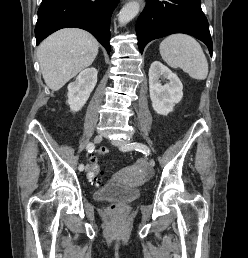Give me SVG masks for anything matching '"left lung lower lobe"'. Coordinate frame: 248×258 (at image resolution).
Wrapping results in <instances>:
<instances>
[{
  "label": "left lung lower lobe",
  "instance_id": "0a47b994",
  "mask_svg": "<svg viewBox=\"0 0 248 258\" xmlns=\"http://www.w3.org/2000/svg\"><path fill=\"white\" fill-rule=\"evenodd\" d=\"M172 33H185L204 42L212 56L213 45L200 0H146L136 23L139 50Z\"/></svg>",
  "mask_w": 248,
  "mask_h": 258
}]
</instances>
